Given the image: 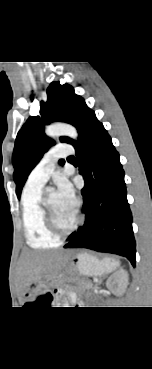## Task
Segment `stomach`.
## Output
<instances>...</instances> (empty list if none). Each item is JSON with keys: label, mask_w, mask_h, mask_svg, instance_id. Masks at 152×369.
I'll list each match as a JSON object with an SVG mask.
<instances>
[{"label": "stomach", "mask_w": 152, "mask_h": 369, "mask_svg": "<svg viewBox=\"0 0 152 369\" xmlns=\"http://www.w3.org/2000/svg\"><path fill=\"white\" fill-rule=\"evenodd\" d=\"M76 259L77 261L73 265L78 268L80 274L85 276H102L111 272L119 265V262L117 264V261L111 260L110 258L99 260L88 253L79 254ZM46 287L44 280H34L28 284L26 295L29 297L36 296L46 291Z\"/></svg>", "instance_id": "stomach-1"}]
</instances>
